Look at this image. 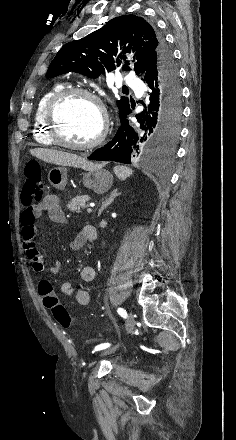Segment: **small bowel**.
<instances>
[{
    "instance_id": "small-bowel-1",
    "label": "small bowel",
    "mask_w": 236,
    "mask_h": 440,
    "mask_svg": "<svg viewBox=\"0 0 236 440\" xmlns=\"http://www.w3.org/2000/svg\"><path fill=\"white\" fill-rule=\"evenodd\" d=\"M46 213L49 219L57 224L66 222L65 213L61 207L60 199L56 195H47L38 204L27 206L21 215V243L27 257L31 262V266L35 273H43L45 267L43 265L42 255L35 245V236L37 234L36 220ZM97 232L94 227L84 225L79 234L71 242V248L79 250L87 241H94ZM61 263L55 261L49 266L48 271L51 274L59 272ZM82 281L89 283L94 280L95 273L91 267H83L80 271ZM61 292L68 297H73L80 305H87L90 302V294L87 290L76 289L71 282H64L61 285ZM43 305L49 309L44 297L41 295Z\"/></svg>"
}]
</instances>
